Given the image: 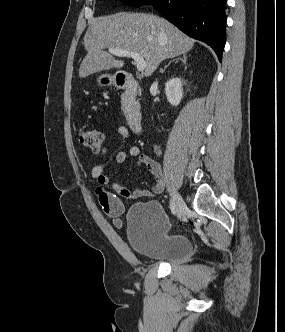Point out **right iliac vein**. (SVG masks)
Wrapping results in <instances>:
<instances>
[{
	"label": "right iliac vein",
	"mask_w": 285,
	"mask_h": 332,
	"mask_svg": "<svg viewBox=\"0 0 285 332\" xmlns=\"http://www.w3.org/2000/svg\"><path fill=\"white\" fill-rule=\"evenodd\" d=\"M173 203L176 208L177 216L181 217L185 209V203L180 193L176 190L173 191Z\"/></svg>",
	"instance_id": "63e3f726"
}]
</instances>
